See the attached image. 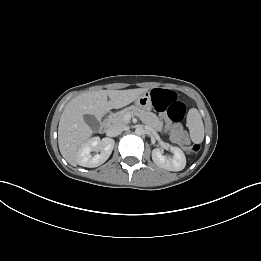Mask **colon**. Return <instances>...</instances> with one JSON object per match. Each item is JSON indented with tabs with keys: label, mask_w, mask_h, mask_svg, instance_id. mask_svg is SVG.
<instances>
[{
	"label": "colon",
	"mask_w": 261,
	"mask_h": 261,
	"mask_svg": "<svg viewBox=\"0 0 261 261\" xmlns=\"http://www.w3.org/2000/svg\"><path fill=\"white\" fill-rule=\"evenodd\" d=\"M152 102L157 111L166 112L173 122H180L186 114V106L177 99L174 92L166 89H154L151 93ZM183 149L191 154L198 150L197 144L183 142Z\"/></svg>",
	"instance_id": "5ec220e1"
}]
</instances>
